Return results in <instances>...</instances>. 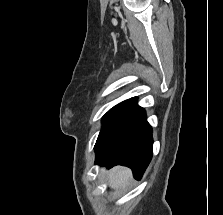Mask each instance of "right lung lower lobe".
Returning a JSON list of instances; mask_svg holds the SVG:
<instances>
[{"label":"right lung lower lobe","mask_w":223,"mask_h":215,"mask_svg":"<svg viewBox=\"0 0 223 215\" xmlns=\"http://www.w3.org/2000/svg\"><path fill=\"white\" fill-rule=\"evenodd\" d=\"M152 128L145 110L136 107L95 150V164L111 168L123 165L140 179L152 158Z\"/></svg>","instance_id":"obj_1"}]
</instances>
